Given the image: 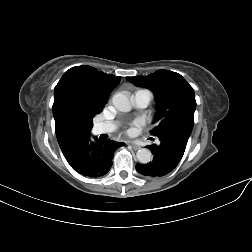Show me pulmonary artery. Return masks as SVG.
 <instances>
[{
  "instance_id": "obj_1",
  "label": "pulmonary artery",
  "mask_w": 252,
  "mask_h": 252,
  "mask_svg": "<svg viewBox=\"0 0 252 252\" xmlns=\"http://www.w3.org/2000/svg\"><path fill=\"white\" fill-rule=\"evenodd\" d=\"M151 96L146 90H139L132 96V101L136 107L144 108L148 106ZM114 123H98L93 128V133L95 135H100L104 133H110L114 131Z\"/></svg>"
}]
</instances>
